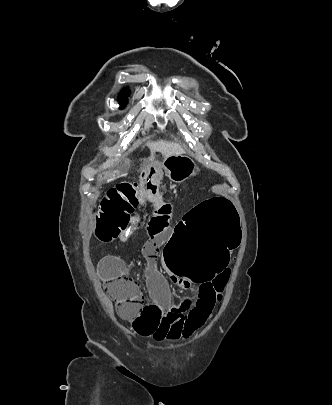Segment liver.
<instances>
[{
	"instance_id": "liver-1",
	"label": "liver",
	"mask_w": 332,
	"mask_h": 405,
	"mask_svg": "<svg viewBox=\"0 0 332 405\" xmlns=\"http://www.w3.org/2000/svg\"><path fill=\"white\" fill-rule=\"evenodd\" d=\"M150 149V160H155V153L159 152L163 155L164 158H167L170 155H183L184 149L181 145L176 142H168L164 140H158L155 142H148L146 144Z\"/></svg>"
}]
</instances>
